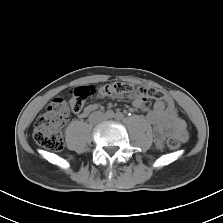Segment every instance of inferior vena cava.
<instances>
[{"label":"inferior vena cava","instance_id":"1","mask_svg":"<svg viewBox=\"0 0 223 223\" xmlns=\"http://www.w3.org/2000/svg\"><path fill=\"white\" fill-rule=\"evenodd\" d=\"M95 118L103 119L104 115L100 112H95V113L91 114L90 120L94 121Z\"/></svg>","mask_w":223,"mask_h":223}]
</instances>
